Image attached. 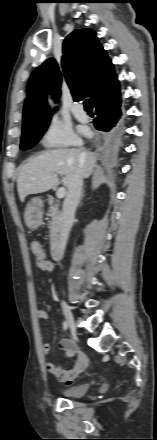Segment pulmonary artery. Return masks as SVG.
I'll return each instance as SVG.
<instances>
[{
    "label": "pulmonary artery",
    "instance_id": "e3ab8cb5",
    "mask_svg": "<svg viewBox=\"0 0 157 440\" xmlns=\"http://www.w3.org/2000/svg\"><path fill=\"white\" fill-rule=\"evenodd\" d=\"M72 113L80 120H86L87 117L84 113L83 106L79 103H74L71 106Z\"/></svg>",
    "mask_w": 157,
    "mask_h": 440
}]
</instances>
